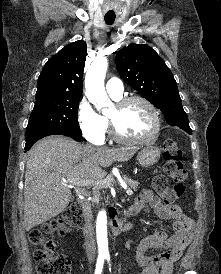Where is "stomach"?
I'll return each mask as SVG.
<instances>
[{"instance_id":"1","label":"stomach","mask_w":221,"mask_h":274,"mask_svg":"<svg viewBox=\"0 0 221 274\" xmlns=\"http://www.w3.org/2000/svg\"><path fill=\"white\" fill-rule=\"evenodd\" d=\"M161 151L158 147L148 145L144 147L137 156L139 164L143 167H149L158 162Z\"/></svg>"}]
</instances>
